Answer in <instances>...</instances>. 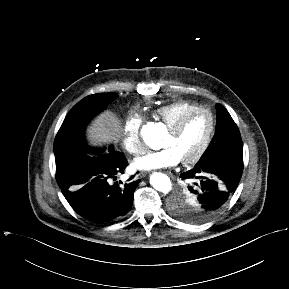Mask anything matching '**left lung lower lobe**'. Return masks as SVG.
<instances>
[{
  "instance_id": "left-lung-lower-lobe-1",
  "label": "left lung lower lobe",
  "mask_w": 289,
  "mask_h": 289,
  "mask_svg": "<svg viewBox=\"0 0 289 289\" xmlns=\"http://www.w3.org/2000/svg\"><path fill=\"white\" fill-rule=\"evenodd\" d=\"M243 171V160H222L181 174L194 181L189 186L200 218L210 220L227 204L238 186Z\"/></svg>"
}]
</instances>
